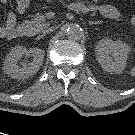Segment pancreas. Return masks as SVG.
I'll use <instances>...</instances> for the list:
<instances>
[{
	"label": "pancreas",
	"mask_w": 135,
	"mask_h": 135,
	"mask_svg": "<svg viewBox=\"0 0 135 135\" xmlns=\"http://www.w3.org/2000/svg\"><path fill=\"white\" fill-rule=\"evenodd\" d=\"M45 17L40 15L39 18H34L32 21H25L21 26L27 31L30 35H35L43 31L46 27Z\"/></svg>",
	"instance_id": "pancreas-1"
}]
</instances>
